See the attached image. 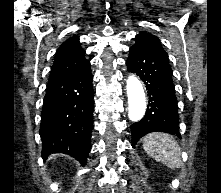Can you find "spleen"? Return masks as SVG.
I'll use <instances>...</instances> for the list:
<instances>
[{
  "label": "spleen",
  "instance_id": "spleen-1",
  "mask_svg": "<svg viewBox=\"0 0 221 193\" xmlns=\"http://www.w3.org/2000/svg\"><path fill=\"white\" fill-rule=\"evenodd\" d=\"M143 149L158 162L170 169L181 167V151L173 136L165 133H150L143 139Z\"/></svg>",
  "mask_w": 221,
  "mask_h": 193
}]
</instances>
